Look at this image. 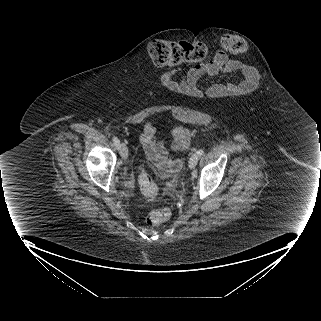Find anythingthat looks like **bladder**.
<instances>
[{"mask_svg":"<svg viewBox=\"0 0 321 321\" xmlns=\"http://www.w3.org/2000/svg\"><path fill=\"white\" fill-rule=\"evenodd\" d=\"M147 165L150 167V168H153L155 166V163L153 162L152 159H150L149 157H147Z\"/></svg>","mask_w":321,"mask_h":321,"instance_id":"bladder-1","label":"bladder"}]
</instances>
